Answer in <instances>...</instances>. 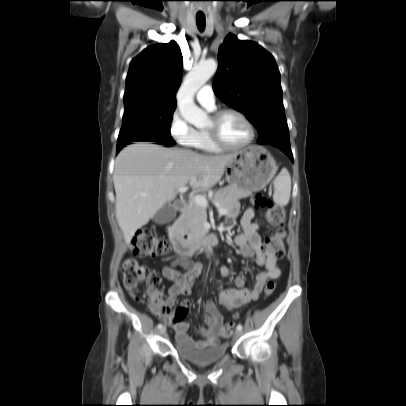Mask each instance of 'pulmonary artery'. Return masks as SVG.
<instances>
[{
	"instance_id": "pulmonary-artery-1",
	"label": "pulmonary artery",
	"mask_w": 406,
	"mask_h": 406,
	"mask_svg": "<svg viewBox=\"0 0 406 406\" xmlns=\"http://www.w3.org/2000/svg\"><path fill=\"white\" fill-rule=\"evenodd\" d=\"M197 101L209 110L215 107V96L210 85L203 86L196 95Z\"/></svg>"
}]
</instances>
